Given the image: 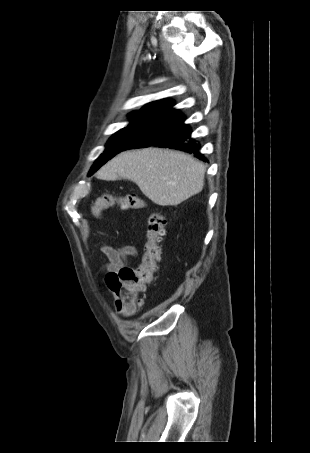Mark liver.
<instances>
[{"label":"liver","mask_w":310,"mask_h":453,"mask_svg":"<svg viewBox=\"0 0 310 453\" xmlns=\"http://www.w3.org/2000/svg\"><path fill=\"white\" fill-rule=\"evenodd\" d=\"M205 171L201 162L183 152L143 148L118 154L97 171L96 177L132 180L155 204L176 206L202 191Z\"/></svg>","instance_id":"obj_1"}]
</instances>
